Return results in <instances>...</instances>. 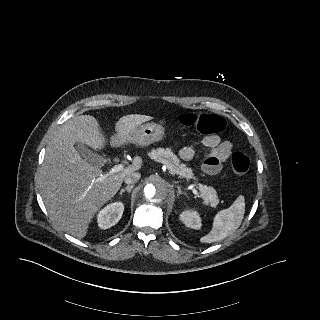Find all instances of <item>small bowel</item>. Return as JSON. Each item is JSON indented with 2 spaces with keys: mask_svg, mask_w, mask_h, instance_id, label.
Returning a JSON list of instances; mask_svg holds the SVG:
<instances>
[{
  "mask_svg": "<svg viewBox=\"0 0 320 320\" xmlns=\"http://www.w3.org/2000/svg\"><path fill=\"white\" fill-rule=\"evenodd\" d=\"M202 146L207 149L202 163V170L211 176L219 174L224 163L232 154V143L222 140L220 136L211 134L203 138ZM196 148L194 146L183 147L179 151V156L183 161H190L195 157Z\"/></svg>",
  "mask_w": 320,
  "mask_h": 320,
  "instance_id": "small-bowel-1",
  "label": "small bowel"
}]
</instances>
